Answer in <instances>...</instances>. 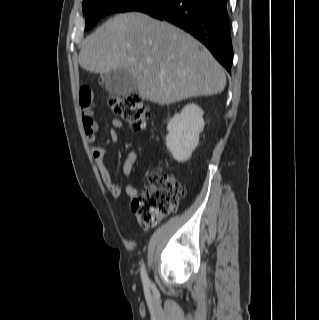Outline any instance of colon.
<instances>
[{
    "label": "colon",
    "mask_w": 319,
    "mask_h": 320,
    "mask_svg": "<svg viewBox=\"0 0 319 320\" xmlns=\"http://www.w3.org/2000/svg\"><path fill=\"white\" fill-rule=\"evenodd\" d=\"M109 104L133 130L146 128L151 113L138 94L113 95ZM186 196L184 186L173 176L160 170L152 172L131 203L138 222L156 225L164 216L173 213Z\"/></svg>",
    "instance_id": "obj_1"
}]
</instances>
